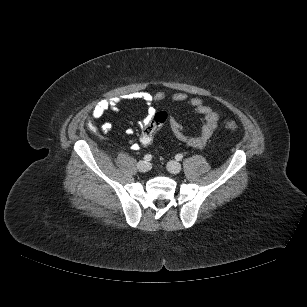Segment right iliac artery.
<instances>
[{"label": "right iliac artery", "instance_id": "82829eb1", "mask_svg": "<svg viewBox=\"0 0 307 307\" xmlns=\"http://www.w3.org/2000/svg\"><path fill=\"white\" fill-rule=\"evenodd\" d=\"M152 159V155L151 154H146L145 156H144V160L145 161H150Z\"/></svg>", "mask_w": 307, "mask_h": 307}]
</instances>
